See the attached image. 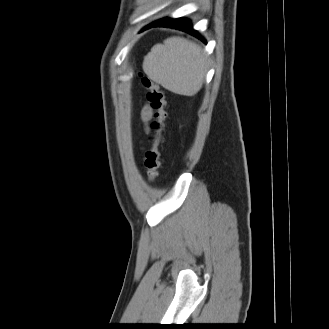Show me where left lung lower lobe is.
Here are the masks:
<instances>
[{
  "instance_id": "1",
  "label": "left lung lower lobe",
  "mask_w": 329,
  "mask_h": 329,
  "mask_svg": "<svg viewBox=\"0 0 329 329\" xmlns=\"http://www.w3.org/2000/svg\"><path fill=\"white\" fill-rule=\"evenodd\" d=\"M152 27L175 28V29L187 32V33L201 39L206 44V41L199 35V33L192 29L191 21L184 19V18H177V19L163 18V19H160V20L148 25L141 31H144V30L152 28Z\"/></svg>"
}]
</instances>
